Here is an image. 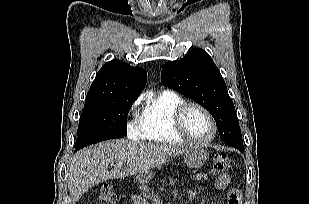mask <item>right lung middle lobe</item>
Instances as JSON below:
<instances>
[{
  "mask_svg": "<svg viewBox=\"0 0 309 204\" xmlns=\"http://www.w3.org/2000/svg\"><path fill=\"white\" fill-rule=\"evenodd\" d=\"M135 98H115L84 105L75 150L127 135V114Z\"/></svg>",
  "mask_w": 309,
  "mask_h": 204,
  "instance_id": "dd1d6c3e",
  "label": "right lung middle lobe"
}]
</instances>
